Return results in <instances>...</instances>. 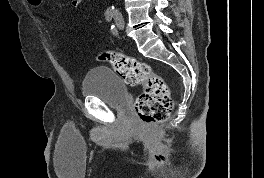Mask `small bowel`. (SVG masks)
<instances>
[{
  "mask_svg": "<svg viewBox=\"0 0 264 178\" xmlns=\"http://www.w3.org/2000/svg\"><path fill=\"white\" fill-rule=\"evenodd\" d=\"M28 1V0H27ZM29 2V1H28ZM84 2V0H70V4H71V6L73 7V8H79L81 5H82V3ZM30 3V2H29ZM31 4V3H30ZM31 5H33V4H31ZM33 6H35V7H38V6H36V5H33Z\"/></svg>",
  "mask_w": 264,
  "mask_h": 178,
  "instance_id": "1",
  "label": "small bowel"
}]
</instances>
